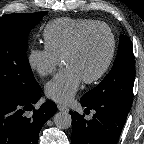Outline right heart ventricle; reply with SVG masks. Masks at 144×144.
Returning a JSON list of instances; mask_svg holds the SVG:
<instances>
[{
	"label": "right heart ventricle",
	"instance_id": "e07e8e85",
	"mask_svg": "<svg viewBox=\"0 0 144 144\" xmlns=\"http://www.w3.org/2000/svg\"><path fill=\"white\" fill-rule=\"evenodd\" d=\"M97 22L93 19L68 17L53 20L46 25L43 31L45 46L59 57H63L78 32Z\"/></svg>",
	"mask_w": 144,
	"mask_h": 144
}]
</instances>
